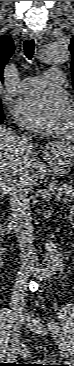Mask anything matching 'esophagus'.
Here are the masks:
<instances>
[{
  "label": "esophagus",
  "mask_w": 74,
  "mask_h": 366,
  "mask_svg": "<svg viewBox=\"0 0 74 366\" xmlns=\"http://www.w3.org/2000/svg\"><path fill=\"white\" fill-rule=\"evenodd\" d=\"M30 38H33L38 46L42 44V37L38 32H31L29 34Z\"/></svg>",
  "instance_id": "1"
}]
</instances>
